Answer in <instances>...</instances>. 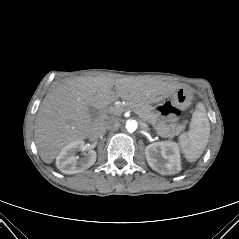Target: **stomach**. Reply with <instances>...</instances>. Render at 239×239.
<instances>
[{"instance_id":"1","label":"stomach","mask_w":239,"mask_h":239,"mask_svg":"<svg viewBox=\"0 0 239 239\" xmlns=\"http://www.w3.org/2000/svg\"><path fill=\"white\" fill-rule=\"evenodd\" d=\"M191 96L189 90L184 86L178 87L172 98L164 99L159 105L160 116L169 123H178L185 116V107Z\"/></svg>"}]
</instances>
